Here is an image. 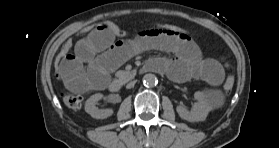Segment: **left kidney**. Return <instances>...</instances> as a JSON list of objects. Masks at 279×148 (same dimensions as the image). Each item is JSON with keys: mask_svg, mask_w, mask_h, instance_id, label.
<instances>
[{"mask_svg": "<svg viewBox=\"0 0 279 148\" xmlns=\"http://www.w3.org/2000/svg\"><path fill=\"white\" fill-rule=\"evenodd\" d=\"M194 97L197 102L194 103L190 111L184 106L179 105L176 108L177 113L182 119L190 122L204 121L208 113L212 110V106L203 92H195Z\"/></svg>", "mask_w": 279, "mask_h": 148, "instance_id": "5707ae66", "label": "left kidney"}]
</instances>
